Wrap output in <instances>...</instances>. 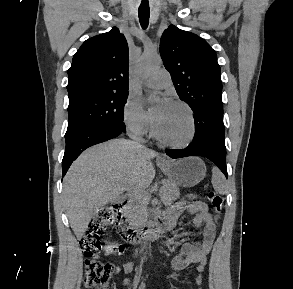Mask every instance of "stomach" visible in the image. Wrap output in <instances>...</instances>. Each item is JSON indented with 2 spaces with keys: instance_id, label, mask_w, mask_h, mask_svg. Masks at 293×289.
Returning a JSON list of instances; mask_svg holds the SVG:
<instances>
[{
  "instance_id": "0dacf381",
  "label": "stomach",
  "mask_w": 293,
  "mask_h": 289,
  "mask_svg": "<svg viewBox=\"0 0 293 289\" xmlns=\"http://www.w3.org/2000/svg\"><path fill=\"white\" fill-rule=\"evenodd\" d=\"M159 166L171 182L183 187L197 185L206 175L205 163L198 157L169 160Z\"/></svg>"
}]
</instances>
